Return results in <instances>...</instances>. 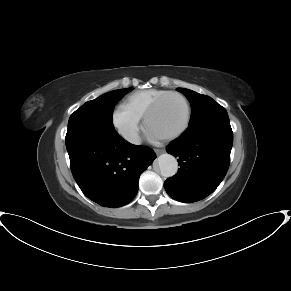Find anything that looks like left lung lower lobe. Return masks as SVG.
I'll use <instances>...</instances> for the list:
<instances>
[{
    "label": "left lung lower lobe",
    "instance_id": "left-lung-lower-lobe-1",
    "mask_svg": "<svg viewBox=\"0 0 291 291\" xmlns=\"http://www.w3.org/2000/svg\"><path fill=\"white\" fill-rule=\"evenodd\" d=\"M233 144L228 115L186 130L166 148L178 157L180 168L164 188L173 199L191 203L211 194L225 177Z\"/></svg>",
    "mask_w": 291,
    "mask_h": 291
}]
</instances>
